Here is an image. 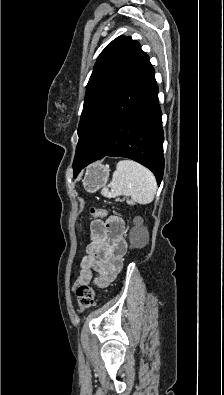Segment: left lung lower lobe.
Listing matches in <instances>:
<instances>
[{
	"label": "left lung lower lobe",
	"instance_id": "0a47b994",
	"mask_svg": "<svg viewBox=\"0 0 224 395\" xmlns=\"http://www.w3.org/2000/svg\"><path fill=\"white\" fill-rule=\"evenodd\" d=\"M150 61L99 114L74 177L105 156L127 157L149 168L160 184L164 171L162 113Z\"/></svg>",
	"mask_w": 224,
	"mask_h": 395
}]
</instances>
